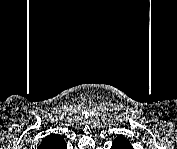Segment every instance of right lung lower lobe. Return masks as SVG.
<instances>
[{
	"instance_id": "1",
	"label": "right lung lower lobe",
	"mask_w": 177,
	"mask_h": 149,
	"mask_svg": "<svg viewBox=\"0 0 177 149\" xmlns=\"http://www.w3.org/2000/svg\"><path fill=\"white\" fill-rule=\"evenodd\" d=\"M57 138L55 137V134H50L45 139L42 141V146H47L46 143H51L53 140H56ZM49 147V145H48ZM57 147L59 148H66V143L63 140L61 144H57Z\"/></svg>"
}]
</instances>
